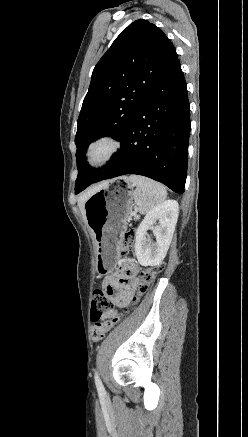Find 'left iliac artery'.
I'll use <instances>...</instances> for the list:
<instances>
[{
	"label": "left iliac artery",
	"mask_w": 248,
	"mask_h": 437,
	"mask_svg": "<svg viewBox=\"0 0 248 437\" xmlns=\"http://www.w3.org/2000/svg\"><path fill=\"white\" fill-rule=\"evenodd\" d=\"M94 379H95V384H96L98 391H103L104 387H103L102 382H101V380L98 376V373L96 371H95Z\"/></svg>",
	"instance_id": "1"
}]
</instances>
